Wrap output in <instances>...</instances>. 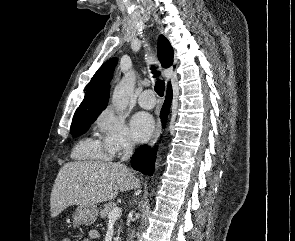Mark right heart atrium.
<instances>
[{
  "mask_svg": "<svg viewBox=\"0 0 295 241\" xmlns=\"http://www.w3.org/2000/svg\"><path fill=\"white\" fill-rule=\"evenodd\" d=\"M94 131L110 157L134 145L124 117L111 108H106L97 115L94 121Z\"/></svg>",
  "mask_w": 295,
  "mask_h": 241,
  "instance_id": "1",
  "label": "right heart atrium"
}]
</instances>
